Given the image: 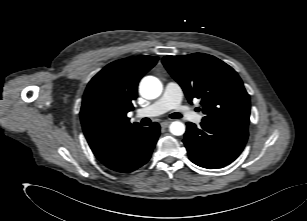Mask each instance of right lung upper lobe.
Here are the masks:
<instances>
[{"mask_svg":"<svg viewBox=\"0 0 307 221\" xmlns=\"http://www.w3.org/2000/svg\"><path fill=\"white\" fill-rule=\"evenodd\" d=\"M158 57L135 56L114 61L89 82L83 95L80 118L85 137L96 157L141 127L131 124L126 114L133 110L142 76Z\"/></svg>","mask_w":307,"mask_h":221,"instance_id":"obj_1","label":"right lung upper lobe"}]
</instances>
